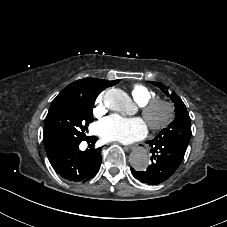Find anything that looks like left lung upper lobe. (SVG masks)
<instances>
[{
    "label": "left lung upper lobe",
    "instance_id": "1",
    "mask_svg": "<svg viewBox=\"0 0 227 227\" xmlns=\"http://www.w3.org/2000/svg\"><path fill=\"white\" fill-rule=\"evenodd\" d=\"M150 83L159 87L167 96H170L175 106L176 118L165 129H162L157 137L153 140L174 141L177 143L188 145L191 138V120L183 101L172 93L171 95L166 90L165 85L159 82L150 81Z\"/></svg>",
    "mask_w": 227,
    "mask_h": 227
}]
</instances>
